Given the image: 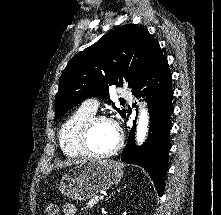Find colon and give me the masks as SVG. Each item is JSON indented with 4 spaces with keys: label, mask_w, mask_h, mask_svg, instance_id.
Instances as JSON below:
<instances>
[{
    "label": "colon",
    "mask_w": 221,
    "mask_h": 215,
    "mask_svg": "<svg viewBox=\"0 0 221 215\" xmlns=\"http://www.w3.org/2000/svg\"><path fill=\"white\" fill-rule=\"evenodd\" d=\"M58 209L55 204H48L45 208L46 215H57Z\"/></svg>",
    "instance_id": "colon-1"
}]
</instances>
